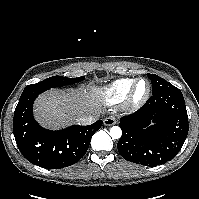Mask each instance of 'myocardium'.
Masks as SVG:
<instances>
[{"label":"myocardium","instance_id":"f54148a6","mask_svg":"<svg viewBox=\"0 0 199 199\" xmlns=\"http://www.w3.org/2000/svg\"><path fill=\"white\" fill-rule=\"evenodd\" d=\"M141 81H144L147 83V91L145 92V94L142 97L137 99L135 97V92H136L137 85ZM150 95H151L150 81L144 77L137 78L136 80H134L133 84L131 85V88L125 98L124 105L127 109H129L131 111L137 110L147 102Z\"/></svg>","mask_w":199,"mask_h":199}]
</instances>
